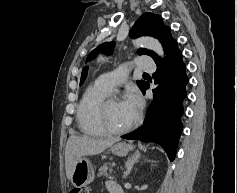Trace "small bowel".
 Masks as SVG:
<instances>
[{
    "label": "small bowel",
    "mask_w": 237,
    "mask_h": 193,
    "mask_svg": "<svg viewBox=\"0 0 237 193\" xmlns=\"http://www.w3.org/2000/svg\"><path fill=\"white\" fill-rule=\"evenodd\" d=\"M108 188L110 190L111 193H121L120 188L117 186V184H115L114 182L110 181L108 183Z\"/></svg>",
    "instance_id": "small-bowel-1"
}]
</instances>
